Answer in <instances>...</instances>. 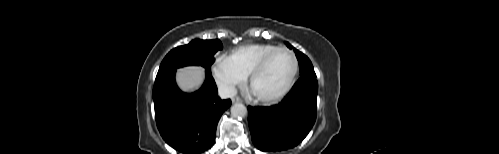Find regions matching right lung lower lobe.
<instances>
[{
  "mask_svg": "<svg viewBox=\"0 0 499 154\" xmlns=\"http://www.w3.org/2000/svg\"><path fill=\"white\" fill-rule=\"evenodd\" d=\"M172 70L156 77L153 88L155 117L162 138L185 154H198L211 148L217 123L231 100H221L211 75L200 90L187 94L176 85Z\"/></svg>",
  "mask_w": 499,
  "mask_h": 154,
  "instance_id": "obj_1",
  "label": "right lung lower lobe"
}]
</instances>
